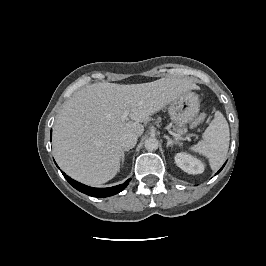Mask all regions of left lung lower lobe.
<instances>
[{"label": "left lung lower lobe", "instance_id": "1", "mask_svg": "<svg viewBox=\"0 0 266 266\" xmlns=\"http://www.w3.org/2000/svg\"><path fill=\"white\" fill-rule=\"evenodd\" d=\"M225 166V164L222 166V168L218 171V173L223 169V167Z\"/></svg>", "mask_w": 266, "mask_h": 266}]
</instances>
